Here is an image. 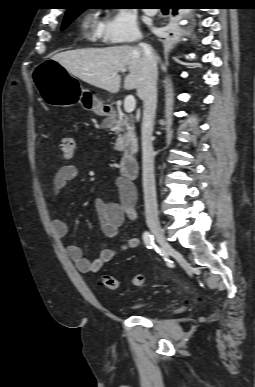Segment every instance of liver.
Returning <instances> with one entry per match:
<instances>
[{
	"mask_svg": "<svg viewBox=\"0 0 255 387\" xmlns=\"http://www.w3.org/2000/svg\"><path fill=\"white\" fill-rule=\"evenodd\" d=\"M70 74L97 88L117 93L121 86L119 72L126 69V90L137 89L144 83V54L141 48L128 45L106 48L76 49L52 57Z\"/></svg>",
	"mask_w": 255,
	"mask_h": 387,
	"instance_id": "liver-1",
	"label": "liver"
}]
</instances>
